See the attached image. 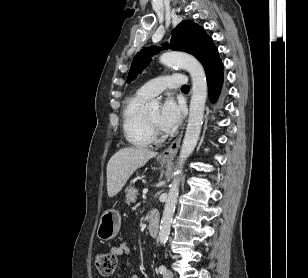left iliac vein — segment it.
<instances>
[{"mask_svg": "<svg viewBox=\"0 0 308 278\" xmlns=\"http://www.w3.org/2000/svg\"><path fill=\"white\" fill-rule=\"evenodd\" d=\"M163 278H173V273L171 270H166L163 274Z\"/></svg>", "mask_w": 308, "mask_h": 278, "instance_id": "left-iliac-vein-1", "label": "left iliac vein"}]
</instances>
